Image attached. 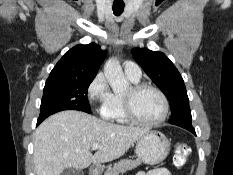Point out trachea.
<instances>
[{
    "instance_id": "1",
    "label": "trachea",
    "mask_w": 233,
    "mask_h": 175,
    "mask_svg": "<svg viewBox=\"0 0 233 175\" xmlns=\"http://www.w3.org/2000/svg\"><path fill=\"white\" fill-rule=\"evenodd\" d=\"M124 11V4H113V13L116 16H119Z\"/></svg>"
}]
</instances>
